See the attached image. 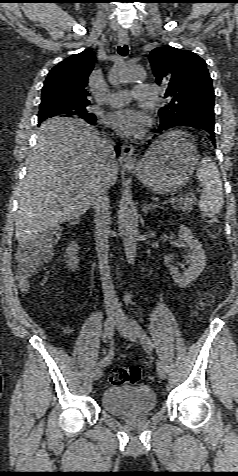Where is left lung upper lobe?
I'll return each instance as SVG.
<instances>
[{
  "mask_svg": "<svg viewBox=\"0 0 238 476\" xmlns=\"http://www.w3.org/2000/svg\"><path fill=\"white\" fill-rule=\"evenodd\" d=\"M150 63L158 84L167 85L170 102L158 112L161 122L207 117L214 120V90L206 62L195 53L171 46L155 48Z\"/></svg>",
  "mask_w": 238,
  "mask_h": 476,
  "instance_id": "obj_1",
  "label": "left lung upper lobe"
}]
</instances>
